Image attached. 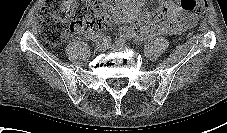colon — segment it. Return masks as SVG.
<instances>
[{"label":"colon","mask_w":227,"mask_h":133,"mask_svg":"<svg viewBox=\"0 0 227 133\" xmlns=\"http://www.w3.org/2000/svg\"><path fill=\"white\" fill-rule=\"evenodd\" d=\"M182 9L203 15L207 0H180ZM119 10L109 0H47L38 13L42 37L60 43L69 32L79 33L106 28Z\"/></svg>","instance_id":"1"}]
</instances>
